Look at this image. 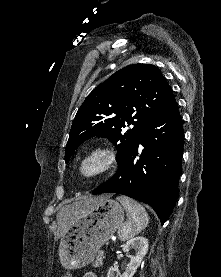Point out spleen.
I'll return each instance as SVG.
<instances>
[{"label": "spleen", "instance_id": "obj_1", "mask_svg": "<svg viewBox=\"0 0 221 277\" xmlns=\"http://www.w3.org/2000/svg\"><path fill=\"white\" fill-rule=\"evenodd\" d=\"M116 199L127 212V221L118 230V238L121 241H126L147 227L149 217L145 208L138 202L125 196H119Z\"/></svg>", "mask_w": 221, "mask_h": 277}]
</instances>
